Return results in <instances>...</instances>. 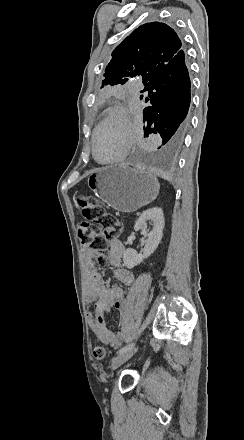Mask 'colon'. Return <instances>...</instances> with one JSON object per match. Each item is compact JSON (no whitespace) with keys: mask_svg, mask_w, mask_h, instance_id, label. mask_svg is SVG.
<instances>
[{"mask_svg":"<svg viewBox=\"0 0 244 440\" xmlns=\"http://www.w3.org/2000/svg\"><path fill=\"white\" fill-rule=\"evenodd\" d=\"M77 200L80 212L86 219L78 226V235L82 239V247L96 251L98 262L101 264L105 261L103 253L107 249L109 240L114 235L115 230L121 229V222L113 214L106 213L95 199L79 196ZM92 354L96 361H103L106 357L104 345L94 342Z\"/></svg>","mask_w":244,"mask_h":440,"instance_id":"5ec220e1","label":"colon"}]
</instances>
